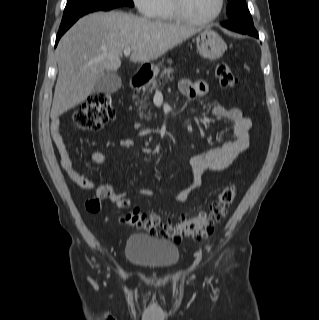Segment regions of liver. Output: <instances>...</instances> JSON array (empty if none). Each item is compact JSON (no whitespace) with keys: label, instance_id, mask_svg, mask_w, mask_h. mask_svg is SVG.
I'll return each mask as SVG.
<instances>
[{"label":"liver","instance_id":"6515ba94","mask_svg":"<svg viewBox=\"0 0 319 320\" xmlns=\"http://www.w3.org/2000/svg\"><path fill=\"white\" fill-rule=\"evenodd\" d=\"M199 30L132 14L96 12L79 19L60 39L56 60L59 75L51 118L56 119L84 102L96 79L116 71L122 51L133 48L131 62L156 60Z\"/></svg>","mask_w":319,"mask_h":320}]
</instances>
